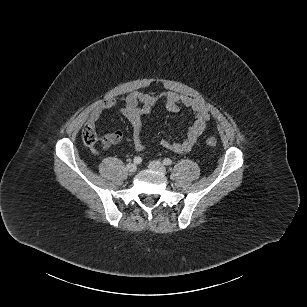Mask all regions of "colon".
Listing matches in <instances>:
<instances>
[{
    "instance_id": "obj_1",
    "label": "colon",
    "mask_w": 307,
    "mask_h": 307,
    "mask_svg": "<svg viewBox=\"0 0 307 307\" xmlns=\"http://www.w3.org/2000/svg\"><path fill=\"white\" fill-rule=\"evenodd\" d=\"M82 139L87 146L94 145L100 139L103 147L109 148L120 141L121 134L119 132H114L99 138L95 126L87 123L82 130ZM206 144L210 147H214L217 144V140L214 137H208L206 139Z\"/></svg>"
}]
</instances>
